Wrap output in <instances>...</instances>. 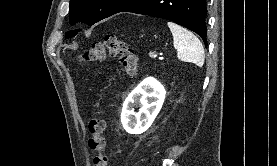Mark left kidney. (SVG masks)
<instances>
[{"label": "left kidney", "instance_id": "obj_1", "mask_svg": "<svg viewBox=\"0 0 277 166\" xmlns=\"http://www.w3.org/2000/svg\"><path fill=\"white\" fill-rule=\"evenodd\" d=\"M166 91L153 77L144 79L126 98L121 123L129 134H141L153 123L165 100ZM134 107H140L138 112Z\"/></svg>", "mask_w": 277, "mask_h": 166}]
</instances>
